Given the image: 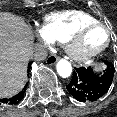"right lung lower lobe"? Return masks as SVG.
Returning <instances> with one entry per match:
<instances>
[{"label": "right lung lower lobe", "mask_w": 117, "mask_h": 117, "mask_svg": "<svg viewBox=\"0 0 117 117\" xmlns=\"http://www.w3.org/2000/svg\"><path fill=\"white\" fill-rule=\"evenodd\" d=\"M30 68H31V63L28 64V71H30ZM26 87H27V85L24 87V89L20 93H18L17 95H15L12 98L0 99V105H15V104H18L24 97Z\"/></svg>", "instance_id": "obj_1"}]
</instances>
